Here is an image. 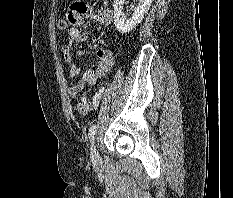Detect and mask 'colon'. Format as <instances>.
I'll use <instances>...</instances> for the list:
<instances>
[{
    "mask_svg": "<svg viewBox=\"0 0 233 198\" xmlns=\"http://www.w3.org/2000/svg\"><path fill=\"white\" fill-rule=\"evenodd\" d=\"M67 26H68V23H67L66 19L60 18L58 20V22H57L58 29L65 30L67 28ZM77 109H78V112L82 115H86L89 113V111L91 109V105L85 96H82L81 99L79 100V102L77 104Z\"/></svg>",
    "mask_w": 233,
    "mask_h": 198,
    "instance_id": "colon-1",
    "label": "colon"
}]
</instances>
